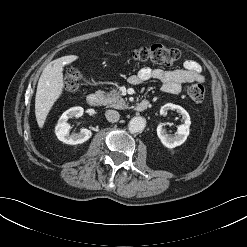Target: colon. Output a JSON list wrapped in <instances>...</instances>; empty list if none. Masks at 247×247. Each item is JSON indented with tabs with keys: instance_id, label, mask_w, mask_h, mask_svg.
Listing matches in <instances>:
<instances>
[{
	"instance_id": "colon-1",
	"label": "colon",
	"mask_w": 247,
	"mask_h": 247,
	"mask_svg": "<svg viewBox=\"0 0 247 247\" xmlns=\"http://www.w3.org/2000/svg\"><path fill=\"white\" fill-rule=\"evenodd\" d=\"M134 60L139 62H151L163 66H171L179 57L176 48L164 44H152L135 48L132 52ZM81 79V72L77 69H71L64 77V88L69 92L75 91ZM189 98L196 104L202 103L205 97V89L202 84L195 83L188 87Z\"/></svg>"
}]
</instances>
